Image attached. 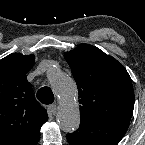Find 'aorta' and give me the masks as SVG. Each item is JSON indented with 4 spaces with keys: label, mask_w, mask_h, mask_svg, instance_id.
I'll return each mask as SVG.
<instances>
[{
    "label": "aorta",
    "mask_w": 145,
    "mask_h": 145,
    "mask_svg": "<svg viewBox=\"0 0 145 145\" xmlns=\"http://www.w3.org/2000/svg\"><path fill=\"white\" fill-rule=\"evenodd\" d=\"M47 77L54 87L60 102L57 114L58 124L64 132H74L80 124V110L76 100L77 89L75 82L55 66L49 68Z\"/></svg>",
    "instance_id": "1"
}]
</instances>
